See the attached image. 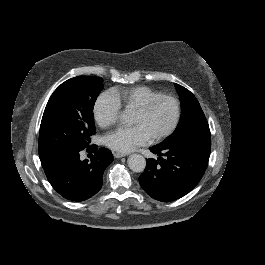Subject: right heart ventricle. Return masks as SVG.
I'll return each mask as SVG.
<instances>
[{"mask_svg":"<svg viewBox=\"0 0 265 265\" xmlns=\"http://www.w3.org/2000/svg\"><path fill=\"white\" fill-rule=\"evenodd\" d=\"M157 94H160L157 90L144 85L111 90V95L124 111L130 109L136 111L146 100Z\"/></svg>","mask_w":265,"mask_h":265,"instance_id":"e07e8e85","label":"right heart ventricle"}]
</instances>
